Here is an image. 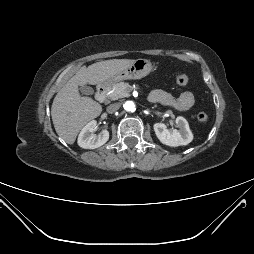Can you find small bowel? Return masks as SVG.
<instances>
[{"label": "small bowel", "instance_id": "small-bowel-1", "mask_svg": "<svg viewBox=\"0 0 254 254\" xmlns=\"http://www.w3.org/2000/svg\"><path fill=\"white\" fill-rule=\"evenodd\" d=\"M149 100L154 103H161L179 112L189 111L194 104V96L191 92H183L179 97H174L164 90H153Z\"/></svg>", "mask_w": 254, "mask_h": 254}]
</instances>
